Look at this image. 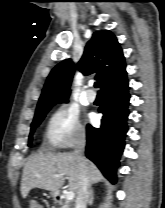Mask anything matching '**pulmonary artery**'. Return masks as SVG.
Instances as JSON below:
<instances>
[{
  "label": "pulmonary artery",
  "instance_id": "pulmonary-artery-1",
  "mask_svg": "<svg viewBox=\"0 0 165 208\" xmlns=\"http://www.w3.org/2000/svg\"><path fill=\"white\" fill-rule=\"evenodd\" d=\"M86 99L89 102H94L96 100V95L94 93H87Z\"/></svg>",
  "mask_w": 165,
  "mask_h": 208
}]
</instances>
